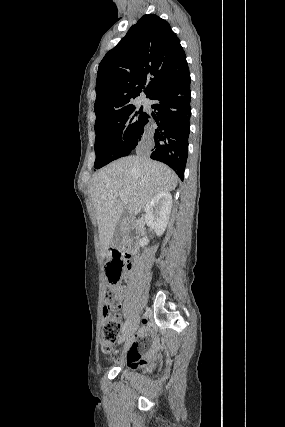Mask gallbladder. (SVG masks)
Segmentation results:
<instances>
[{"instance_id": "gallbladder-1", "label": "gallbladder", "mask_w": 285, "mask_h": 427, "mask_svg": "<svg viewBox=\"0 0 285 427\" xmlns=\"http://www.w3.org/2000/svg\"><path fill=\"white\" fill-rule=\"evenodd\" d=\"M127 216V212L126 210L123 211V214L121 216V222L118 224L115 232H114V236L112 238V246L116 249L121 248L122 246V241H123V226H122V221L126 218Z\"/></svg>"}]
</instances>
